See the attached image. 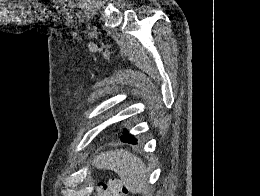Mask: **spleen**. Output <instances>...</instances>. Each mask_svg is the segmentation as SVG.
Here are the masks:
<instances>
[{"label": "spleen", "mask_w": 260, "mask_h": 196, "mask_svg": "<svg viewBox=\"0 0 260 196\" xmlns=\"http://www.w3.org/2000/svg\"><path fill=\"white\" fill-rule=\"evenodd\" d=\"M93 166L98 170L116 172L125 188L132 194H141L147 188L149 174L144 162L127 150L101 152L100 156H96Z\"/></svg>", "instance_id": "1"}]
</instances>
